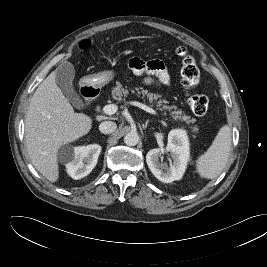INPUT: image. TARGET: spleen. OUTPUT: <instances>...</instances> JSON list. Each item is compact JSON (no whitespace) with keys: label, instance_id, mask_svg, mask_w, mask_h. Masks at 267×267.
<instances>
[{"label":"spleen","instance_id":"1","mask_svg":"<svg viewBox=\"0 0 267 267\" xmlns=\"http://www.w3.org/2000/svg\"><path fill=\"white\" fill-rule=\"evenodd\" d=\"M231 150V130L227 125L220 128L209 149L196 160L201 178L214 179L223 171Z\"/></svg>","mask_w":267,"mask_h":267}]
</instances>
